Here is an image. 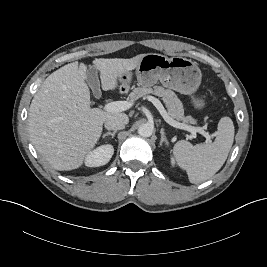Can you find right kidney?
<instances>
[{
	"instance_id": "obj_1",
	"label": "right kidney",
	"mask_w": 267,
	"mask_h": 267,
	"mask_svg": "<svg viewBox=\"0 0 267 267\" xmlns=\"http://www.w3.org/2000/svg\"><path fill=\"white\" fill-rule=\"evenodd\" d=\"M114 153L112 145H102L90 151L85 157V165L88 167H99L107 164Z\"/></svg>"
}]
</instances>
